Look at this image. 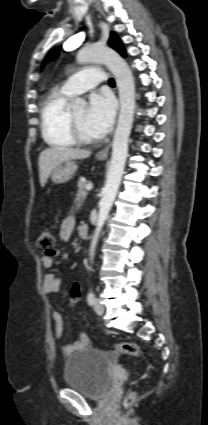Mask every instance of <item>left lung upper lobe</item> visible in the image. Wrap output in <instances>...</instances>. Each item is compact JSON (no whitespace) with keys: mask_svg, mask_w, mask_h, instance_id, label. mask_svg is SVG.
Here are the masks:
<instances>
[{"mask_svg":"<svg viewBox=\"0 0 208 425\" xmlns=\"http://www.w3.org/2000/svg\"><path fill=\"white\" fill-rule=\"evenodd\" d=\"M108 44H109L110 47L114 48L118 53H120L123 57L126 56L123 45L114 32L111 33V37L109 39ZM58 53H59V47L52 49L47 54L43 64H45V62H47V61L53 60L58 55Z\"/></svg>","mask_w":208,"mask_h":425,"instance_id":"obj_1","label":"left lung upper lobe"}]
</instances>
